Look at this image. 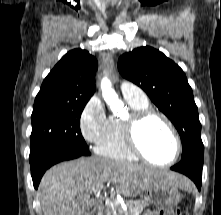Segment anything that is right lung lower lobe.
I'll return each mask as SVG.
<instances>
[{"mask_svg": "<svg viewBox=\"0 0 221 215\" xmlns=\"http://www.w3.org/2000/svg\"><path fill=\"white\" fill-rule=\"evenodd\" d=\"M88 155H90L89 148L61 147L47 151L34 161L30 162L34 187H38L43 174L52 165Z\"/></svg>", "mask_w": 221, "mask_h": 215, "instance_id": "right-lung-lower-lobe-1", "label": "right lung lower lobe"}]
</instances>
